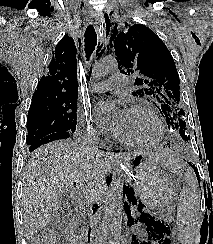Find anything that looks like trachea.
I'll use <instances>...</instances> for the list:
<instances>
[{
    "mask_svg": "<svg viewBox=\"0 0 213 244\" xmlns=\"http://www.w3.org/2000/svg\"><path fill=\"white\" fill-rule=\"evenodd\" d=\"M85 52L86 58L89 60L97 44V34L93 25H89L85 31Z\"/></svg>",
    "mask_w": 213,
    "mask_h": 244,
    "instance_id": "trachea-1",
    "label": "trachea"
}]
</instances>
